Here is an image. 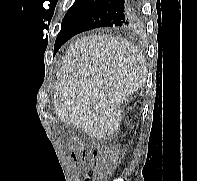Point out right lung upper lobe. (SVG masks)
<instances>
[{
	"mask_svg": "<svg viewBox=\"0 0 197 181\" xmlns=\"http://www.w3.org/2000/svg\"><path fill=\"white\" fill-rule=\"evenodd\" d=\"M98 0H75L73 6L69 9V10H76V9H79V8H88L89 6H91L92 4H94L95 2H97ZM119 31H127L128 29H131V28H128V27H120V28H117Z\"/></svg>",
	"mask_w": 197,
	"mask_h": 181,
	"instance_id": "obj_1",
	"label": "right lung upper lobe"
}]
</instances>
